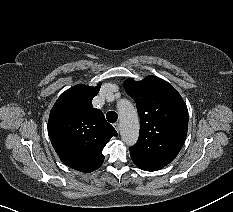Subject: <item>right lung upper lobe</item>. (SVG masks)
<instances>
[{"label": "right lung upper lobe", "instance_id": "obj_1", "mask_svg": "<svg viewBox=\"0 0 233 212\" xmlns=\"http://www.w3.org/2000/svg\"><path fill=\"white\" fill-rule=\"evenodd\" d=\"M96 87L78 84L60 95L48 121V134L61 161L81 172L98 169L103 161L102 150L116 130L101 110L93 108Z\"/></svg>", "mask_w": 233, "mask_h": 212}]
</instances>
